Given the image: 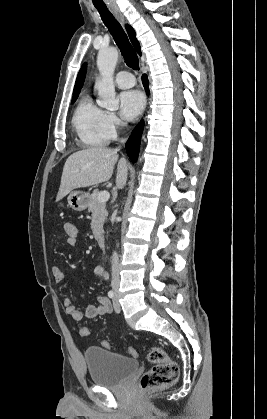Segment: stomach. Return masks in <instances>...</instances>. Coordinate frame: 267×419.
<instances>
[{"label":"stomach","instance_id":"stomach-1","mask_svg":"<svg viewBox=\"0 0 267 419\" xmlns=\"http://www.w3.org/2000/svg\"><path fill=\"white\" fill-rule=\"evenodd\" d=\"M89 197L87 192L72 191L67 198L68 205L75 211H83L88 206ZM58 207L62 208L64 205L59 203Z\"/></svg>","mask_w":267,"mask_h":419}]
</instances>
